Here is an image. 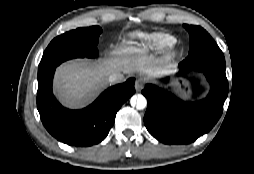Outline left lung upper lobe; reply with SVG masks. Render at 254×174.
<instances>
[{"mask_svg":"<svg viewBox=\"0 0 254 174\" xmlns=\"http://www.w3.org/2000/svg\"><path fill=\"white\" fill-rule=\"evenodd\" d=\"M184 28L190 36L189 55L183 61L184 63L213 62L225 65L222 51L206 30L200 26L187 24Z\"/></svg>","mask_w":254,"mask_h":174,"instance_id":"5c2ea615","label":"left lung upper lobe"}]
</instances>
